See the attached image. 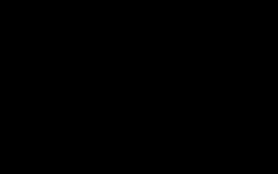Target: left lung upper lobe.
<instances>
[{
	"label": "left lung upper lobe",
	"mask_w": 278,
	"mask_h": 174,
	"mask_svg": "<svg viewBox=\"0 0 278 174\" xmlns=\"http://www.w3.org/2000/svg\"><path fill=\"white\" fill-rule=\"evenodd\" d=\"M157 29L165 35L177 37L185 47V65L175 84H181L198 76L214 77L215 61L207 42L201 34L179 22L158 24Z\"/></svg>",
	"instance_id": "obj_1"
}]
</instances>
